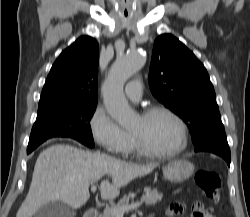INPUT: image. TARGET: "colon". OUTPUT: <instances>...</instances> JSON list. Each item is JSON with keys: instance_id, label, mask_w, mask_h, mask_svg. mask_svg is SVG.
Here are the masks:
<instances>
[{"instance_id": "obj_1", "label": "colon", "mask_w": 250, "mask_h": 217, "mask_svg": "<svg viewBox=\"0 0 250 217\" xmlns=\"http://www.w3.org/2000/svg\"><path fill=\"white\" fill-rule=\"evenodd\" d=\"M194 181L196 186L205 194L207 198L215 203L221 199V181L219 175L211 170L202 169L196 172ZM206 207L201 202H196L192 206L190 217H204Z\"/></svg>"}]
</instances>
